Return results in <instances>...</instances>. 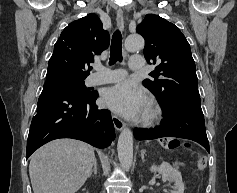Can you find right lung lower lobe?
Instances as JSON below:
<instances>
[{
  "label": "right lung lower lobe",
  "mask_w": 237,
  "mask_h": 193,
  "mask_svg": "<svg viewBox=\"0 0 237 193\" xmlns=\"http://www.w3.org/2000/svg\"><path fill=\"white\" fill-rule=\"evenodd\" d=\"M97 92L76 96L57 87H44L27 140L26 158L48 141L73 138L106 148L115 138L110 111L95 104Z\"/></svg>",
  "instance_id": "right-lung-lower-lobe-1"
}]
</instances>
